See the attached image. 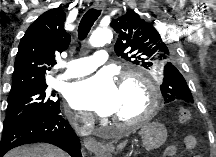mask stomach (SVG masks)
I'll return each mask as SVG.
<instances>
[{
    "instance_id": "obj_1",
    "label": "stomach",
    "mask_w": 216,
    "mask_h": 157,
    "mask_svg": "<svg viewBox=\"0 0 216 157\" xmlns=\"http://www.w3.org/2000/svg\"><path fill=\"white\" fill-rule=\"evenodd\" d=\"M142 142L147 150H155L160 148L166 140L167 130L165 126L159 122H152L143 125L139 131Z\"/></svg>"
}]
</instances>
